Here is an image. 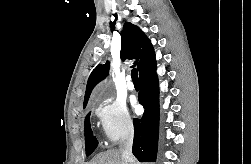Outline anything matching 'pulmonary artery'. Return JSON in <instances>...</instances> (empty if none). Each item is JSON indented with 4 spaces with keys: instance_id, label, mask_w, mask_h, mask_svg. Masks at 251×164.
<instances>
[{
    "instance_id": "1",
    "label": "pulmonary artery",
    "mask_w": 251,
    "mask_h": 164,
    "mask_svg": "<svg viewBox=\"0 0 251 164\" xmlns=\"http://www.w3.org/2000/svg\"><path fill=\"white\" fill-rule=\"evenodd\" d=\"M127 88H128L130 91H133V90L135 89L134 83L131 81L130 78L128 79V82H127Z\"/></svg>"
}]
</instances>
